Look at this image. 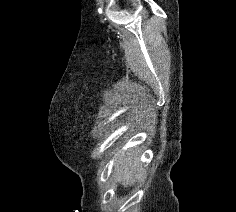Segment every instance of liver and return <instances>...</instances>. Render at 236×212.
<instances>
[{
  "mask_svg": "<svg viewBox=\"0 0 236 212\" xmlns=\"http://www.w3.org/2000/svg\"><path fill=\"white\" fill-rule=\"evenodd\" d=\"M138 159L134 158L132 151L120 156L115 163L113 176L115 180L124 187L133 185L137 178L141 176Z\"/></svg>",
  "mask_w": 236,
  "mask_h": 212,
  "instance_id": "6515ba94",
  "label": "liver"
}]
</instances>
